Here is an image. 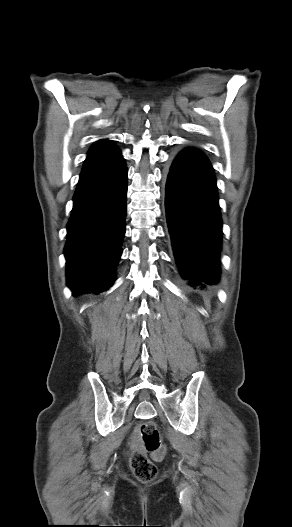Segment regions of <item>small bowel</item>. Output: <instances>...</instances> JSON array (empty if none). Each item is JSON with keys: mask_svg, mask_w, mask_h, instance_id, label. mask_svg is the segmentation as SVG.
<instances>
[{"mask_svg": "<svg viewBox=\"0 0 292 527\" xmlns=\"http://www.w3.org/2000/svg\"><path fill=\"white\" fill-rule=\"evenodd\" d=\"M131 448H133V449L136 448L137 450H142V447L139 446L138 443H137V434H135L133 439H132ZM164 453H165V448L164 447H160L156 451H153V454L155 455L154 458H153L154 463H156V464L161 463V461H162L161 456Z\"/></svg>", "mask_w": 292, "mask_h": 527, "instance_id": "small-bowel-1", "label": "small bowel"}]
</instances>
